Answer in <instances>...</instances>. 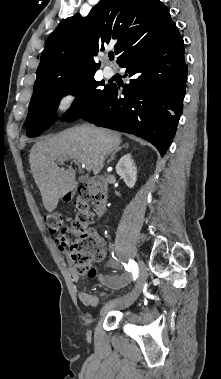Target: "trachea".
I'll return each instance as SVG.
<instances>
[{"label":"trachea","instance_id":"trachea-1","mask_svg":"<svg viewBox=\"0 0 221 379\" xmlns=\"http://www.w3.org/2000/svg\"><path fill=\"white\" fill-rule=\"evenodd\" d=\"M109 59H110V60H113V59H114V54H113V53H110V54H109Z\"/></svg>","mask_w":221,"mask_h":379}]
</instances>
